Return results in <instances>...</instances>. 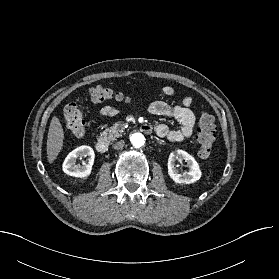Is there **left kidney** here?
<instances>
[{
    "instance_id": "5707ae66",
    "label": "left kidney",
    "mask_w": 279,
    "mask_h": 279,
    "mask_svg": "<svg viewBox=\"0 0 279 279\" xmlns=\"http://www.w3.org/2000/svg\"><path fill=\"white\" fill-rule=\"evenodd\" d=\"M187 162L189 171L183 174H180L175 167L176 161ZM168 174L170 178L178 184H191L196 182L201 177V170L197 161L186 151L176 150L171 152L168 159Z\"/></svg>"
}]
</instances>
